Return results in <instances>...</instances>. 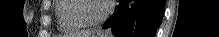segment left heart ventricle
I'll return each instance as SVG.
<instances>
[{
    "label": "left heart ventricle",
    "instance_id": "left-heart-ventricle-1",
    "mask_svg": "<svg viewBox=\"0 0 219 37\" xmlns=\"http://www.w3.org/2000/svg\"><path fill=\"white\" fill-rule=\"evenodd\" d=\"M104 1H88L84 3V15L88 19L98 18L104 10Z\"/></svg>",
    "mask_w": 219,
    "mask_h": 37
}]
</instances>
